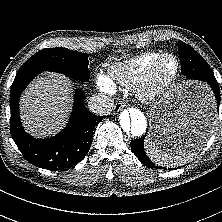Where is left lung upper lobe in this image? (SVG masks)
Masks as SVG:
<instances>
[{"label": "left lung upper lobe", "mask_w": 222, "mask_h": 222, "mask_svg": "<svg viewBox=\"0 0 222 222\" xmlns=\"http://www.w3.org/2000/svg\"><path fill=\"white\" fill-rule=\"evenodd\" d=\"M179 49V57L181 56H192L194 57L204 68L212 72L210 66L206 63V61L189 45L185 44L182 41L178 42Z\"/></svg>", "instance_id": "obj_1"}]
</instances>
